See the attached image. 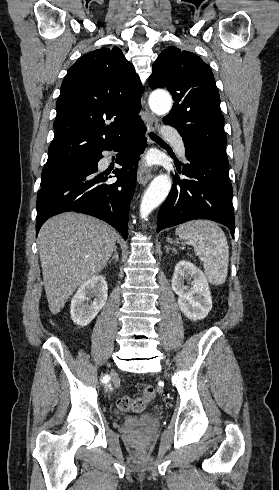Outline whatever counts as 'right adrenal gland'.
<instances>
[{
    "label": "right adrenal gland",
    "instance_id": "2a0ac1e0",
    "mask_svg": "<svg viewBox=\"0 0 279 490\" xmlns=\"http://www.w3.org/2000/svg\"><path fill=\"white\" fill-rule=\"evenodd\" d=\"M113 260H115V262H118V260H119V254L117 252V246H115V248H114V256H112V258H110L108 264H111V262H113Z\"/></svg>",
    "mask_w": 279,
    "mask_h": 490
}]
</instances>
